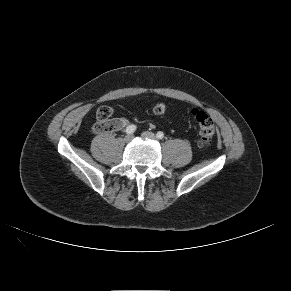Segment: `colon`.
Segmentation results:
<instances>
[{
	"label": "colon",
	"instance_id": "5ec220e1",
	"mask_svg": "<svg viewBox=\"0 0 291 291\" xmlns=\"http://www.w3.org/2000/svg\"><path fill=\"white\" fill-rule=\"evenodd\" d=\"M167 105L164 102H159L153 107V113L155 115H162L166 112ZM192 116L194 117L199 128V146L207 147L211 144L213 136L215 134V124L210 115L199 109L192 110ZM113 114V108L108 105L101 106L96 113L97 122L94 124L92 130L95 133L111 132L113 125L111 122V116Z\"/></svg>",
	"mask_w": 291,
	"mask_h": 291
}]
</instances>
